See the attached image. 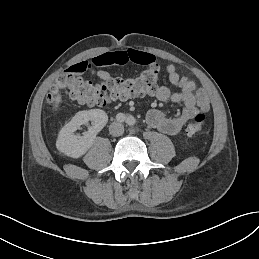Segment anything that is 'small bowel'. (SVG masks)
Returning <instances> with one entry per match:
<instances>
[{
    "label": "small bowel",
    "mask_w": 259,
    "mask_h": 259,
    "mask_svg": "<svg viewBox=\"0 0 259 259\" xmlns=\"http://www.w3.org/2000/svg\"><path fill=\"white\" fill-rule=\"evenodd\" d=\"M151 65L155 57L147 52L138 50L112 51L94 57L91 61H81L71 65L67 71L73 74H81L91 71L96 77L106 81L111 78L108 71L94 70V66L105 67L110 65H124L128 63ZM169 81L179 88L177 92H171L166 86L158 87L153 95L160 101L171 100L184 105L182 113L176 117H167L161 110L153 108L146 114L147 123L167 135L179 133L185 124L197 115H204L210 109L209 95L204 89H197L193 81L179 75L174 65L166 67Z\"/></svg>",
    "instance_id": "obj_1"
}]
</instances>
